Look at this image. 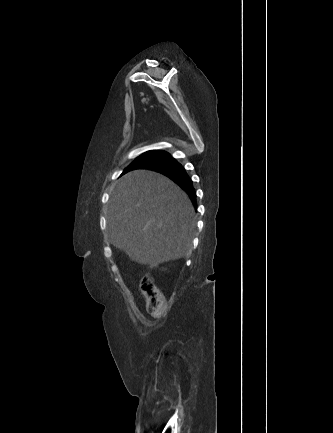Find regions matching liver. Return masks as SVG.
<instances>
[{"instance_id": "obj_1", "label": "liver", "mask_w": 333, "mask_h": 433, "mask_svg": "<svg viewBox=\"0 0 333 433\" xmlns=\"http://www.w3.org/2000/svg\"><path fill=\"white\" fill-rule=\"evenodd\" d=\"M188 195L167 177L134 170L110 193L107 230L113 245L135 262L158 266L183 258L195 228Z\"/></svg>"}]
</instances>
